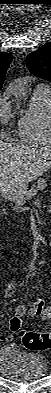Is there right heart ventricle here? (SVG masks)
I'll return each instance as SVG.
<instances>
[{
  "mask_svg": "<svg viewBox=\"0 0 51 393\" xmlns=\"http://www.w3.org/2000/svg\"><path fill=\"white\" fill-rule=\"evenodd\" d=\"M22 141L36 145L51 142V91L39 86L33 93L28 109L18 120Z\"/></svg>",
  "mask_w": 51,
  "mask_h": 393,
  "instance_id": "obj_1",
  "label": "right heart ventricle"
}]
</instances>
